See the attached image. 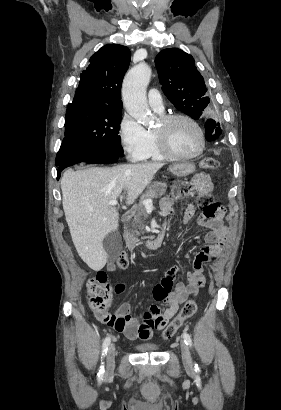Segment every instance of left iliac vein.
I'll use <instances>...</instances> for the list:
<instances>
[{"mask_svg": "<svg viewBox=\"0 0 281 410\" xmlns=\"http://www.w3.org/2000/svg\"><path fill=\"white\" fill-rule=\"evenodd\" d=\"M180 347H181L182 361H183L185 368L187 370H192L193 362H192V357H191L188 345L184 341H181Z\"/></svg>", "mask_w": 281, "mask_h": 410, "instance_id": "4c4485c4", "label": "left iliac vein"}]
</instances>
